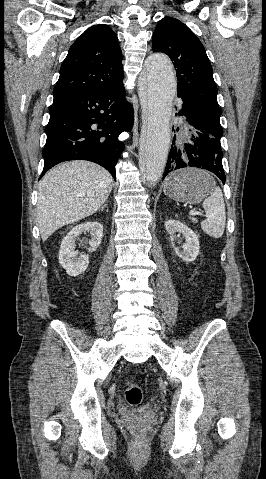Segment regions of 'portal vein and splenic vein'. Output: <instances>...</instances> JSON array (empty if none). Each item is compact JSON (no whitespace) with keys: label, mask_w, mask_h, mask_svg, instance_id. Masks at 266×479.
Listing matches in <instances>:
<instances>
[{"label":"portal vein and splenic vein","mask_w":266,"mask_h":479,"mask_svg":"<svg viewBox=\"0 0 266 479\" xmlns=\"http://www.w3.org/2000/svg\"><path fill=\"white\" fill-rule=\"evenodd\" d=\"M189 215H190V216H201L202 214H201L200 212H198V211L191 210V211L189 212Z\"/></svg>","instance_id":"obj_1"}]
</instances>
